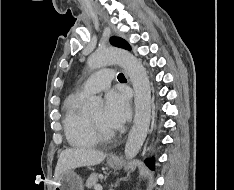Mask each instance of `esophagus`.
Returning <instances> with one entry per match:
<instances>
[{"instance_id": "obj_1", "label": "esophagus", "mask_w": 234, "mask_h": 190, "mask_svg": "<svg viewBox=\"0 0 234 190\" xmlns=\"http://www.w3.org/2000/svg\"><path fill=\"white\" fill-rule=\"evenodd\" d=\"M116 157L114 155H111L110 156V159H115Z\"/></svg>"}]
</instances>
